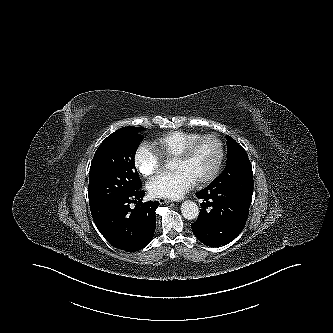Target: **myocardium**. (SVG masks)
<instances>
[{"mask_svg": "<svg viewBox=\"0 0 333 333\" xmlns=\"http://www.w3.org/2000/svg\"><path fill=\"white\" fill-rule=\"evenodd\" d=\"M205 139H212L216 142L217 146H218V159L216 162V165L214 167V169L212 170V172L204 179L197 181L196 184L198 186H206L209 185L210 183H212L220 174L222 166H223V162H224V158H225V149H224V145L223 142L214 134H204V135H200L199 137L193 139L192 141H190L184 148L183 150L174 158V161H184L187 158H189V156L192 154V152L194 151V149L196 148V146L203 140Z\"/></svg>", "mask_w": 333, "mask_h": 333, "instance_id": "myocardium-1", "label": "myocardium"}]
</instances>
